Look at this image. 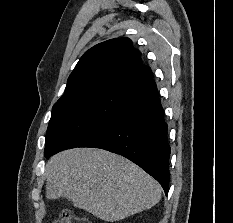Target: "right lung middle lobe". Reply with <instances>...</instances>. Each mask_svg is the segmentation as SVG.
<instances>
[{
	"label": "right lung middle lobe",
	"mask_w": 233,
	"mask_h": 223,
	"mask_svg": "<svg viewBox=\"0 0 233 223\" xmlns=\"http://www.w3.org/2000/svg\"><path fill=\"white\" fill-rule=\"evenodd\" d=\"M121 90H93L61 97L52 108L45 153L79 147L123 108Z\"/></svg>",
	"instance_id": "obj_1"
}]
</instances>
